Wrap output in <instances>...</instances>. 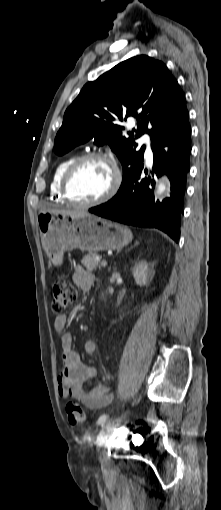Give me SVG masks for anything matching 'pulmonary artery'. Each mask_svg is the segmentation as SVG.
Returning a JSON list of instances; mask_svg holds the SVG:
<instances>
[{"instance_id":"pulmonary-artery-1","label":"pulmonary artery","mask_w":221,"mask_h":510,"mask_svg":"<svg viewBox=\"0 0 221 510\" xmlns=\"http://www.w3.org/2000/svg\"><path fill=\"white\" fill-rule=\"evenodd\" d=\"M139 142L141 145H145V147H146V150H145L146 157L151 158L152 157V149H151L150 139H149L148 135L147 134L143 135L140 138Z\"/></svg>"}]
</instances>
